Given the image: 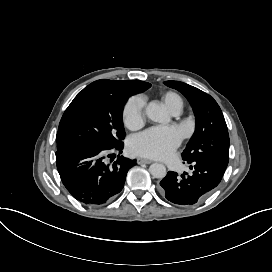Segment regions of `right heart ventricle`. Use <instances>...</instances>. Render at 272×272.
<instances>
[{
  "mask_svg": "<svg viewBox=\"0 0 272 272\" xmlns=\"http://www.w3.org/2000/svg\"><path fill=\"white\" fill-rule=\"evenodd\" d=\"M164 102L167 106V108L173 112L174 109L177 107V105L182 104L181 98L174 94V93H168L164 96Z\"/></svg>",
  "mask_w": 272,
  "mask_h": 272,
  "instance_id": "1",
  "label": "right heart ventricle"
}]
</instances>
